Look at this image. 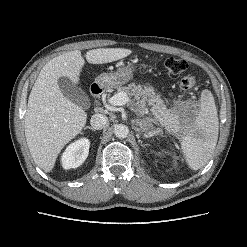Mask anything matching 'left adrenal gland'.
<instances>
[{"label": "left adrenal gland", "instance_id": "left-adrenal-gland-1", "mask_svg": "<svg viewBox=\"0 0 247 247\" xmlns=\"http://www.w3.org/2000/svg\"><path fill=\"white\" fill-rule=\"evenodd\" d=\"M161 134V130L159 128H157L156 130H151L148 132V134H144V137L145 138H150V137H153V136H156V135H160Z\"/></svg>", "mask_w": 247, "mask_h": 247}]
</instances>
